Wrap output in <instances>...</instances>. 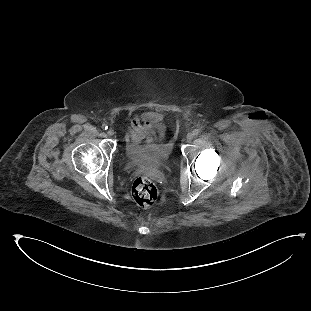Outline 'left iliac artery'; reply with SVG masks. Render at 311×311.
Instances as JSON below:
<instances>
[{
  "instance_id": "left-iliac-artery-1",
  "label": "left iliac artery",
  "mask_w": 311,
  "mask_h": 311,
  "mask_svg": "<svg viewBox=\"0 0 311 311\" xmlns=\"http://www.w3.org/2000/svg\"><path fill=\"white\" fill-rule=\"evenodd\" d=\"M200 133V130L199 129H194V131H193V134L194 135H198Z\"/></svg>"
}]
</instances>
